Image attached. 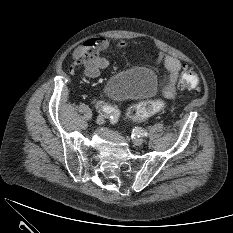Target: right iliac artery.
<instances>
[{"label":"right iliac artery","instance_id":"right-iliac-artery-1","mask_svg":"<svg viewBox=\"0 0 233 233\" xmlns=\"http://www.w3.org/2000/svg\"><path fill=\"white\" fill-rule=\"evenodd\" d=\"M96 106L102 110V112H104V114L107 116V117H110L111 119H117L120 115V112L119 110L113 106V105H109L107 103H104L102 101H98L96 103Z\"/></svg>","mask_w":233,"mask_h":233}]
</instances>
